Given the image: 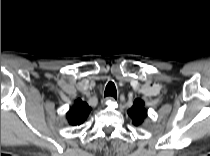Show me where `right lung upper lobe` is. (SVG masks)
<instances>
[{"label":"right lung upper lobe","mask_w":210,"mask_h":156,"mask_svg":"<svg viewBox=\"0 0 210 156\" xmlns=\"http://www.w3.org/2000/svg\"><path fill=\"white\" fill-rule=\"evenodd\" d=\"M91 108L86 102H83L81 99H77L74 102V106L67 112V119L71 125H80L82 124L87 116L89 115Z\"/></svg>","instance_id":"right-lung-upper-lobe-1"}]
</instances>
